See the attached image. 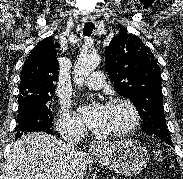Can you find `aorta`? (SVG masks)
Here are the masks:
<instances>
[{
    "instance_id": "obj_1",
    "label": "aorta",
    "mask_w": 183,
    "mask_h": 179,
    "mask_svg": "<svg viewBox=\"0 0 183 179\" xmlns=\"http://www.w3.org/2000/svg\"><path fill=\"white\" fill-rule=\"evenodd\" d=\"M100 61L101 58L96 53L79 57L74 68L73 79L76 85L81 87L88 75L99 66Z\"/></svg>"
}]
</instances>
